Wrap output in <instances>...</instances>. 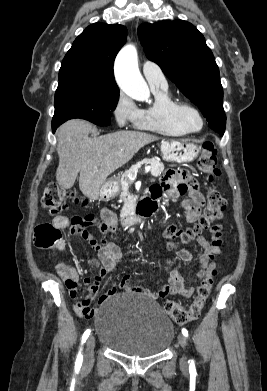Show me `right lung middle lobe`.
I'll list each match as a JSON object with an SVG mask.
<instances>
[{"mask_svg": "<svg viewBox=\"0 0 267 391\" xmlns=\"http://www.w3.org/2000/svg\"><path fill=\"white\" fill-rule=\"evenodd\" d=\"M118 98L119 89L114 81L86 74L59 78L52 125L82 118L107 126Z\"/></svg>", "mask_w": 267, "mask_h": 391, "instance_id": "dd1d6c3e", "label": "right lung middle lobe"}]
</instances>
